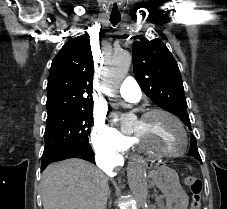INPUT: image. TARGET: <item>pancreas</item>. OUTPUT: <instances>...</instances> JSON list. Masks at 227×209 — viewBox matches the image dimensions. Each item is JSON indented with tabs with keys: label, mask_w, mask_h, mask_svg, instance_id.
Returning <instances> with one entry per match:
<instances>
[{
	"label": "pancreas",
	"mask_w": 227,
	"mask_h": 209,
	"mask_svg": "<svg viewBox=\"0 0 227 209\" xmlns=\"http://www.w3.org/2000/svg\"><path fill=\"white\" fill-rule=\"evenodd\" d=\"M161 202H162L161 204L158 203L156 205L157 206V209H167L166 208L167 205L165 203H163L164 201L162 200Z\"/></svg>",
	"instance_id": "1"
}]
</instances>
